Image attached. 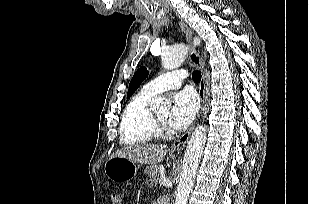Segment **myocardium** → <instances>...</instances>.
Returning <instances> with one entry per match:
<instances>
[{"mask_svg": "<svg viewBox=\"0 0 309 204\" xmlns=\"http://www.w3.org/2000/svg\"><path fill=\"white\" fill-rule=\"evenodd\" d=\"M152 116H153V121H154V123H155V125H156V127H157L158 130H164V129H166V127H167L166 122L160 120V119L157 117L156 114H153V113H152Z\"/></svg>", "mask_w": 309, "mask_h": 204, "instance_id": "1", "label": "myocardium"}]
</instances>
